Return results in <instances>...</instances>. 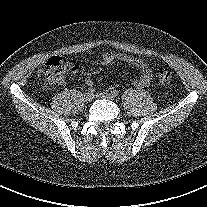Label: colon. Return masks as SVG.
<instances>
[{"label":"colon","instance_id":"obj_1","mask_svg":"<svg viewBox=\"0 0 207 207\" xmlns=\"http://www.w3.org/2000/svg\"><path fill=\"white\" fill-rule=\"evenodd\" d=\"M68 68L66 62L59 56L51 57L40 69L38 77L44 84H54ZM156 77L161 84H169L171 74L167 70L158 69Z\"/></svg>","mask_w":207,"mask_h":207}]
</instances>
